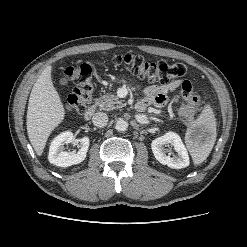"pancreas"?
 Returning a JSON list of instances; mask_svg holds the SVG:
<instances>
[{
  "label": "pancreas",
  "mask_w": 247,
  "mask_h": 247,
  "mask_svg": "<svg viewBox=\"0 0 247 247\" xmlns=\"http://www.w3.org/2000/svg\"><path fill=\"white\" fill-rule=\"evenodd\" d=\"M96 104L100 110L110 111L124 107V104L119 100V97L114 93H106L96 100Z\"/></svg>",
  "instance_id": "pancreas-1"
}]
</instances>
